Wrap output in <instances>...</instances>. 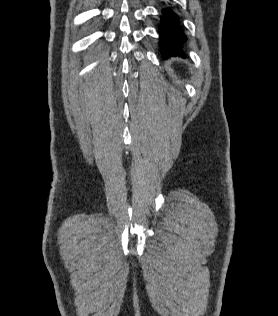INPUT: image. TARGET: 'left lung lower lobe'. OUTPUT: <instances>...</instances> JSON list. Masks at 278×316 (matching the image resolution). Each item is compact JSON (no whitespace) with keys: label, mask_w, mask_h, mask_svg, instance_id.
<instances>
[{"label":"left lung lower lobe","mask_w":278,"mask_h":316,"mask_svg":"<svg viewBox=\"0 0 278 316\" xmlns=\"http://www.w3.org/2000/svg\"><path fill=\"white\" fill-rule=\"evenodd\" d=\"M160 48L163 57L183 55L182 46L187 38L181 30L178 16L170 9L161 11Z\"/></svg>","instance_id":"1"}]
</instances>
